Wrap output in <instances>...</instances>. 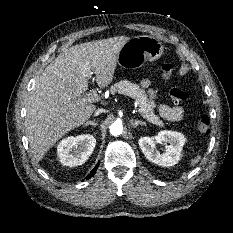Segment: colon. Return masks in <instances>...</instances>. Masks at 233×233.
<instances>
[{"mask_svg":"<svg viewBox=\"0 0 233 233\" xmlns=\"http://www.w3.org/2000/svg\"><path fill=\"white\" fill-rule=\"evenodd\" d=\"M173 69L174 67L172 64H163L161 67L163 76L165 78H170L173 73ZM168 97L173 103L177 104L184 102L188 98V95L178 88H172L168 93ZM197 129L202 134H208L210 132V121L207 116L203 115L199 118L197 122Z\"/></svg>","mask_w":233,"mask_h":233,"instance_id":"1","label":"colon"}]
</instances>
